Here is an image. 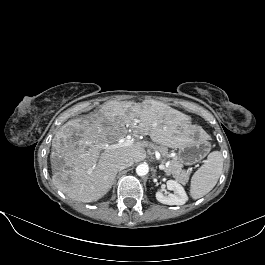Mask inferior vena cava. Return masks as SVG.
Returning a JSON list of instances; mask_svg holds the SVG:
<instances>
[{"instance_id":"inferior-vena-cava-1","label":"inferior vena cava","mask_w":265,"mask_h":265,"mask_svg":"<svg viewBox=\"0 0 265 265\" xmlns=\"http://www.w3.org/2000/svg\"><path fill=\"white\" fill-rule=\"evenodd\" d=\"M134 161L132 159H125L117 163L116 168L118 171H121L125 168L132 166Z\"/></svg>"}]
</instances>
